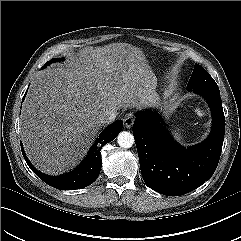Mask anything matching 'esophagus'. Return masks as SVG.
<instances>
[{
    "label": "esophagus",
    "mask_w": 241,
    "mask_h": 241,
    "mask_svg": "<svg viewBox=\"0 0 241 241\" xmlns=\"http://www.w3.org/2000/svg\"><path fill=\"white\" fill-rule=\"evenodd\" d=\"M134 115L133 113H127L124 118H123V122L126 128H131L132 125L134 124Z\"/></svg>",
    "instance_id": "34e87169"
}]
</instances>
